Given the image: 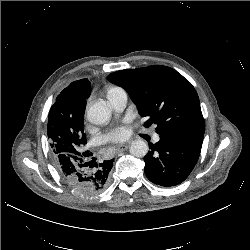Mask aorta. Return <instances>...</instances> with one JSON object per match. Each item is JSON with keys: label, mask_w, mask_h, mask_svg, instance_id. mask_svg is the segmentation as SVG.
Segmentation results:
<instances>
[{"label": "aorta", "mask_w": 250, "mask_h": 250, "mask_svg": "<svg viewBox=\"0 0 250 250\" xmlns=\"http://www.w3.org/2000/svg\"><path fill=\"white\" fill-rule=\"evenodd\" d=\"M110 117L111 107L106 101L96 102L87 109V119L92 124H105ZM129 151L134 157L142 158L148 153V145L143 140H135L131 143Z\"/></svg>", "instance_id": "obj_1"}]
</instances>
